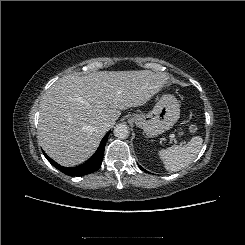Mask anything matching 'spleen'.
<instances>
[{"mask_svg": "<svg viewBox=\"0 0 245 245\" xmlns=\"http://www.w3.org/2000/svg\"><path fill=\"white\" fill-rule=\"evenodd\" d=\"M202 143L201 136H194L186 145H172L167 149L160 150L158 154L165 169L175 172L188 166L197 157Z\"/></svg>", "mask_w": 245, "mask_h": 245, "instance_id": "1", "label": "spleen"}]
</instances>
